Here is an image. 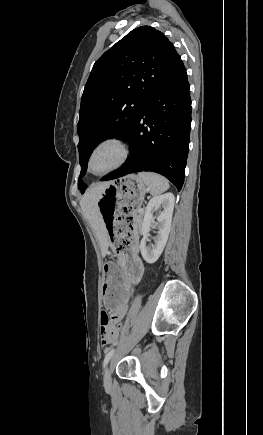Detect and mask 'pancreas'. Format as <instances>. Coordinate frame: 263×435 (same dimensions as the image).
Wrapping results in <instances>:
<instances>
[{
  "label": "pancreas",
  "mask_w": 263,
  "mask_h": 435,
  "mask_svg": "<svg viewBox=\"0 0 263 435\" xmlns=\"http://www.w3.org/2000/svg\"><path fill=\"white\" fill-rule=\"evenodd\" d=\"M140 209L135 210V213H138V216H135L136 222L140 223L144 214V209L139 211Z\"/></svg>",
  "instance_id": "obj_1"
}]
</instances>
